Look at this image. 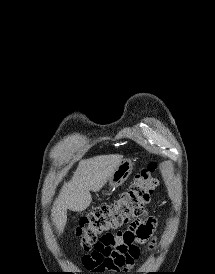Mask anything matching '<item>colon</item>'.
Segmentation results:
<instances>
[{
    "label": "colon",
    "mask_w": 215,
    "mask_h": 274,
    "mask_svg": "<svg viewBox=\"0 0 215 274\" xmlns=\"http://www.w3.org/2000/svg\"><path fill=\"white\" fill-rule=\"evenodd\" d=\"M155 171L156 163L150 162L135 176L130 188L117 200L99 206L81 218L76 228V235L84 250H90L109 231L144 215V206L159 184Z\"/></svg>",
    "instance_id": "1"
}]
</instances>
